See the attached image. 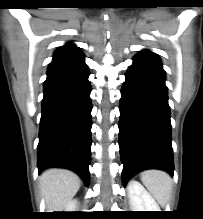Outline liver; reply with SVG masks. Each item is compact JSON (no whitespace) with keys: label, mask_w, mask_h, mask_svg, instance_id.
<instances>
[{"label":"liver","mask_w":203,"mask_h":219,"mask_svg":"<svg viewBox=\"0 0 203 219\" xmlns=\"http://www.w3.org/2000/svg\"><path fill=\"white\" fill-rule=\"evenodd\" d=\"M81 185L78 175L70 170L51 168L40 176L41 195L48 212H60L75 196Z\"/></svg>","instance_id":"6515ba94"}]
</instances>
